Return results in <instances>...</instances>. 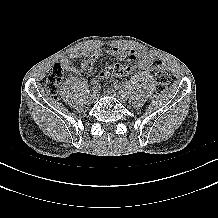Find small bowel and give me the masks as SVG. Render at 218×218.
I'll return each mask as SVG.
<instances>
[{"label": "small bowel", "mask_w": 218, "mask_h": 218, "mask_svg": "<svg viewBox=\"0 0 218 218\" xmlns=\"http://www.w3.org/2000/svg\"><path fill=\"white\" fill-rule=\"evenodd\" d=\"M106 53L119 60H126L123 65L124 71L122 76L129 75L136 66L144 70H151L153 68L154 57L148 52H136L134 50L124 49L121 47H113L106 52L102 49H85L76 51L61 60V65L67 70H75L71 60L74 58H83L80 70L85 73H91L93 70L94 62ZM97 82V81H96Z\"/></svg>", "instance_id": "1"}]
</instances>
